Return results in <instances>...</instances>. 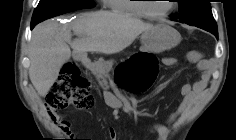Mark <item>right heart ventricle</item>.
<instances>
[{"label":"right heart ventricle","instance_id":"1","mask_svg":"<svg viewBox=\"0 0 236 140\" xmlns=\"http://www.w3.org/2000/svg\"><path fill=\"white\" fill-rule=\"evenodd\" d=\"M137 0H108L107 5L116 13L127 14L131 16H142Z\"/></svg>","mask_w":236,"mask_h":140}]
</instances>
